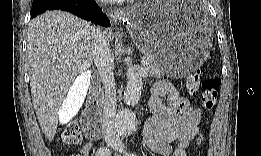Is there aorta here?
<instances>
[{"label":"aorta","mask_w":261,"mask_h":156,"mask_svg":"<svg viewBox=\"0 0 261 156\" xmlns=\"http://www.w3.org/2000/svg\"><path fill=\"white\" fill-rule=\"evenodd\" d=\"M127 86L124 93V101L128 108L120 110L115 119V127L119 135L127 137L135 130V114L129 107L136 105L141 97L143 82L139 73L127 62Z\"/></svg>","instance_id":"obj_1"}]
</instances>
